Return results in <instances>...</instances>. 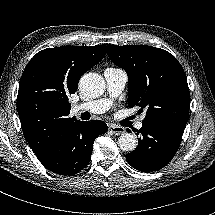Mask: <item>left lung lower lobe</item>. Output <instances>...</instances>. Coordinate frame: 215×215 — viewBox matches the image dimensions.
Returning <instances> with one entry per match:
<instances>
[{"mask_svg":"<svg viewBox=\"0 0 215 215\" xmlns=\"http://www.w3.org/2000/svg\"><path fill=\"white\" fill-rule=\"evenodd\" d=\"M185 126L184 122L142 123V128L137 130L142 139L139 138L137 148L126 155L127 162L142 172L163 168L176 154Z\"/></svg>","mask_w":215,"mask_h":215,"instance_id":"1","label":"left lung lower lobe"}]
</instances>
